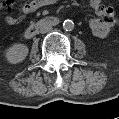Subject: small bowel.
I'll use <instances>...</instances> for the list:
<instances>
[{
	"mask_svg": "<svg viewBox=\"0 0 119 119\" xmlns=\"http://www.w3.org/2000/svg\"><path fill=\"white\" fill-rule=\"evenodd\" d=\"M14 3V0H6L4 2V7L11 8ZM54 3L55 0H32L25 2L21 7V11L23 14H30L41 7ZM90 4L95 13L98 15V18H94L89 22L91 32L96 37L105 38L110 34L111 30L116 25L115 9L112 6L103 4V2L100 0H92ZM22 18V16L16 17L7 15L5 17V21L8 25H16L22 21Z\"/></svg>",
	"mask_w": 119,
	"mask_h": 119,
	"instance_id": "1",
	"label": "small bowel"
}]
</instances>
